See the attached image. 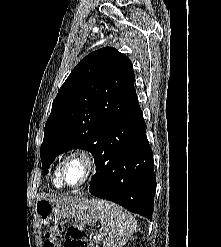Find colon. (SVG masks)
Here are the masks:
<instances>
[{
    "mask_svg": "<svg viewBox=\"0 0 221 247\" xmlns=\"http://www.w3.org/2000/svg\"><path fill=\"white\" fill-rule=\"evenodd\" d=\"M62 222L50 225L44 247H87L86 232L78 222H72L65 230Z\"/></svg>",
    "mask_w": 221,
    "mask_h": 247,
    "instance_id": "colon-1",
    "label": "colon"
}]
</instances>
